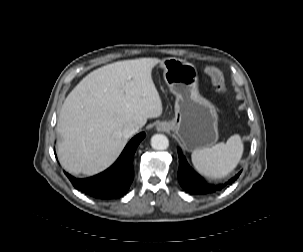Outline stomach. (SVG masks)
Returning a JSON list of instances; mask_svg holds the SVG:
<instances>
[{"label":"stomach","instance_id":"1","mask_svg":"<svg viewBox=\"0 0 303 252\" xmlns=\"http://www.w3.org/2000/svg\"><path fill=\"white\" fill-rule=\"evenodd\" d=\"M164 80L176 96L175 117L163 122L173 131L187 151L205 149L218 140V115L214 105L198 91V71L185 60L175 57L160 62Z\"/></svg>","mask_w":303,"mask_h":252}]
</instances>
